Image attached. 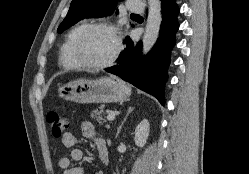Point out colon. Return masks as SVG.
Instances as JSON below:
<instances>
[{
    "instance_id": "colon-1",
    "label": "colon",
    "mask_w": 249,
    "mask_h": 174,
    "mask_svg": "<svg viewBox=\"0 0 249 174\" xmlns=\"http://www.w3.org/2000/svg\"><path fill=\"white\" fill-rule=\"evenodd\" d=\"M46 121L55 137L63 136L68 132L70 127L68 117L57 111H50L47 114Z\"/></svg>"
}]
</instances>
